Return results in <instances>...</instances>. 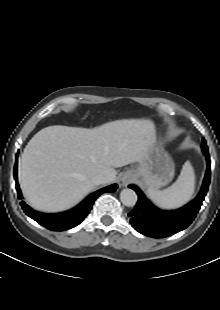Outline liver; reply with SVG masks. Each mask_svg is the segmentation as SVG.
Here are the masks:
<instances>
[{
    "instance_id": "6515ba94",
    "label": "liver",
    "mask_w": 220,
    "mask_h": 310,
    "mask_svg": "<svg viewBox=\"0 0 220 310\" xmlns=\"http://www.w3.org/2000/svg\"><path fill=\"white\" fill-rule=\"evenodd\" d=\"M155 141V125L149 119L116 120L93 129L43 128L22 154V192L39 211L69 209L94 188L93 176L102 174L107 183L113 182L115 168L142 160Z\"/></svg>"
}]
</instances>
